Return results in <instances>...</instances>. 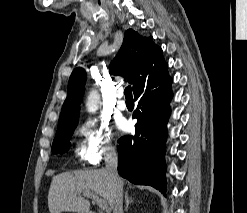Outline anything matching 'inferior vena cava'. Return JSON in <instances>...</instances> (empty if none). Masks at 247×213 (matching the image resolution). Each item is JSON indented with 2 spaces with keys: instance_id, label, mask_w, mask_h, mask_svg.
I'll return each mask as SVG.
<instances>
[{
  "instance_id": "1",
  "label": "inferior vena cava",
  "mask_w": 247,
  "mask_h": 213,
  "mask_svg": "<svg viewBox=\"0 0 247 213\" xmlns=\"http://www.w3.org/2000/svg\"><path fill=\"white\" fill-rule=\"evenodd\" d=\"M106 170L115 184L113 213H123V188L117 172L118 156L114 147H109L106 153Z\"/></svg>"
}]
</instances>
